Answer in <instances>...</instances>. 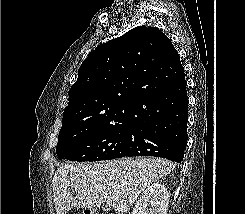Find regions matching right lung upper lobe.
Masks as SVG:
<instances>
[{"label": "right lung upper lobe", "instance_id": "right-lung-upper-lobe-1", "mask_svg": "<svg viewBox=\"0 0 245 214\" xmlns=\"http://www.w3.org/2000/svg\"><path fill=\"white\" fill-rule=\"evenodd\" d=\"M176 52L169 38L150 26L97 46L78 70L63 117L89 124L134 117L168 87Z\"/></svg>", "mask_w": 245, "mask_h": 214}]
</instances>
